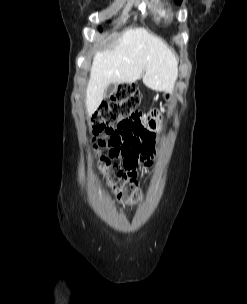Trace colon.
Masks as SVG:
<instances>
[{"instance_id":"1","label":"colon","mask_w":247,"mask_h":304,"mask_svg":"<svg viewBox=\"0 0 247 304\" xmlns=\"http://www.w3.org/2000/svg\"><path fill=\"white\" fill-rule=\"evenodd\" d=\"M138 103L139 97L134 90L127 84H120L110 99L91 118L90 124L93 135L98 136L110 130H116L115 122H124V120L159 121V119H126V112H137L135 109ZM99 146H101L100 141L93 146V158L109 186L123 202L138 203L142 196L135 179L130 177L125 169L116 165V162H110L109 156L101 155Z\"/></svg>"}]
</instances>
